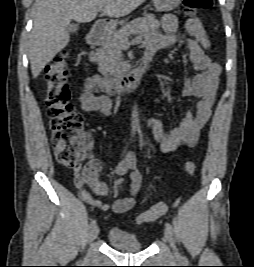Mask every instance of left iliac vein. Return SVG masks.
Wrapping results in <instances>:
<instances>
[{
	"mask_svg": "<svg viewBox=\"0 0 254 267\" xmlns=\"http://www.w3.org/2000/svg\"><path fill=\"white\" fill-rule=\"evenodd\" d=\"M164 236H165L166 240L168 241V243L170 244L175 256L179 257V252H178V249H177L176 244H175L173 233L167 227L164 228Z\"/></svg>",
	"mask_w": 254,
	"mask_h": 267,
	"instance_id": "4c4485c4",
	"label": "left iliac vein"
}]
</instances>
